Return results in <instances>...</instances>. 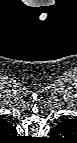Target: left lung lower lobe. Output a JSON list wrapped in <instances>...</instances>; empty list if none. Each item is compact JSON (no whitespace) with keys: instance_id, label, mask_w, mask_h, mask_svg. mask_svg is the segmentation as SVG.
I'll list each match as a JSON object with an SVG mask.
<instances>
[{"instance_id":"left-lung-lower-lobe-1","label":"left lung lower lobe","mask_w":77,"mask_h":143,"mask_svg":"<svg viewBox=\"0 0 77 143\" xmlns=\"http://www.w3.org/2000/svg\"><path fill=\"white\" fill-rule=\"evenodd\" d=\"M60 135H61V134H56V133H55V130H52V131H51V137H52V138H57V137H59Z\"/></svg>"}]
</instances>
